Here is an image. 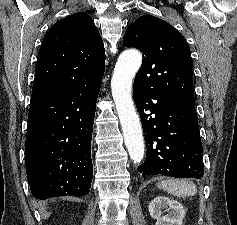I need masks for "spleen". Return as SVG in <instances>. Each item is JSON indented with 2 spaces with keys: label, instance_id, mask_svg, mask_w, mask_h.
<instances>
[{
  "label": "spleen",
  "instance_id": "1",
  "mask_svg": "<svg viewBox=\"0 0 237 225\" xmlns=\"http://www.w3.org/2000/svg\"><path fill=\"white\" fill-rule=\"evenodd\" d=\"M158 188L163 189L171 195L179 198L194 196L197 193L196 185L190 180L169 179L157 184Z\"/></svg>",
  "mask_w": 237,
  "mask_h": 225
}]
</instances>
